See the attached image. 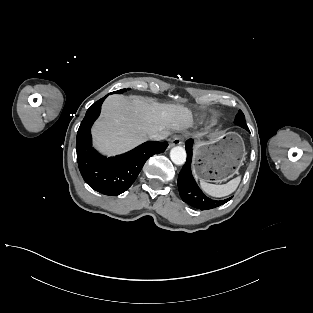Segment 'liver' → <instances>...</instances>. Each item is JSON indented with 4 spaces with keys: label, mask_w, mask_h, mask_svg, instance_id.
I'll use <instances>...</instances> for the list:
<instances>
[{
    "label": "liver",
    "mask_w": 313,
    "mask_h": 313,
    "mask_svg": "<svg viewBox=\"0 0 313 313\" xmlns=\"http://www.w3.org/2000/svg\"><path fill=\"white\" fill-rule=\"evenodd\" d=\"M191 123V112L182 105L160 104L138 96H109L92 134L97 148L115 155L141 144L151 133L170 135Z\"/></svg>",
    "instance_id": "6515ba94"
}]
</instances>
